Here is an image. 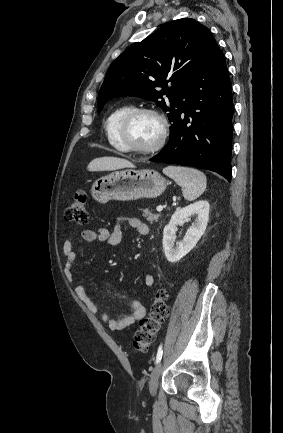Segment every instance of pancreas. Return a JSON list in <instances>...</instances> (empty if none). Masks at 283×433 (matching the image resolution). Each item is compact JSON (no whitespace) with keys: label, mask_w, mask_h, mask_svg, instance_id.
<instances>
[{"label":"pancreas","mask_w":283,"mask_h":433,"mask_svg":"<svg viewBox=\"0 0 283 433\" xmlns=\"http://www.w3.org/2000/svg\"><path fill=\"white\" fill-rule=\"evenodd\" d=\"M139 210H142V217H146L149 223H154V221H158L160 217V214H154V212H150L149 208H139Z\"/></svg>","instance_id":"1"}]
</instances>
